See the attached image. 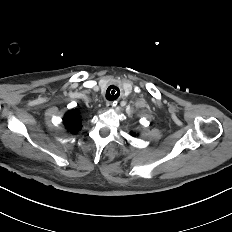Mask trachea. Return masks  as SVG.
<instances>
[{"label":"trachea","mask_w":232,"mask_h":232,"mask_svg":"<svg viewBox=\"0 0 232 232\" xmlns=\"http://www.w3.org/2000/svg\"><path fill=\"white\" fill-rule=\"evenodd\" d=\"M120 95V90L118 87L111 85L108 87L107 91H106V98L109 101H113L116 100Z\"/></svg>","instance_id":"1"}]
</instances>
